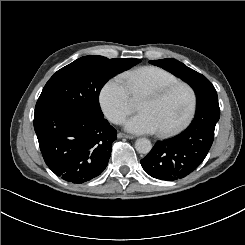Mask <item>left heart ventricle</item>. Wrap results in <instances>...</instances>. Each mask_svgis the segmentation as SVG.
<instances>
[{
    "instance_id": "left-heart-ventricle-1",
    "label": "left heart ventricle",
    "mask_w": 245,
    "mask_h": 245,
    "mask_svg": "<svg viewBox=\"0 0 245 245\" xmlns=\"http://www.w3.org/2000/svg\"><path fill=\"white\" fill-rule=\"evenodd\" d=\"M189 108V95L186 89L179 88L161 101L155 95L139 98L136 109L147 112L159 130L168 129L183 119Z\"/></svg>"
}]
</instances>
